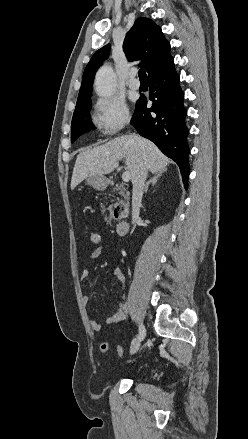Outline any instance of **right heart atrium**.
Instances as JSON below:
<instances>
[{"label":"right heart atrium","instance_id":"obj_1","mask_svg":"<svg viewBox=\"0 0 248 439\" xmlns=\"http://www.w3.org/2000/svg\"><path fill=\"white\" fill-rule=\"evenodd\" d=\"M92 116L95 126L104 135L116 134L131 119L124 100L114 96L98 99L93 106Z\"/></svg>","mask_w":248,"mask_h":439}]
</instances>
